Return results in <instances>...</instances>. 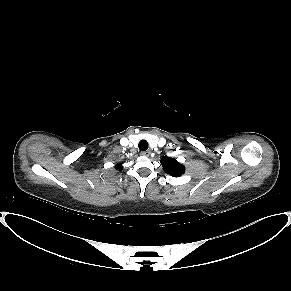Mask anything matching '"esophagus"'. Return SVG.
<instances>
[{
	"label": "esophagus",
	"mask_w": 291,
	"mask_h": 291,
	"mask_svg": "<svg viewBox=\"0 0 291 291\" xmlns=\"http://www.w3.org/2000/svg\"><path fill=\"white\" fill-rule=\"evenodd\" d=\"M143 156H149L151 154V152L149 150L143 151L141 153Z\"/></svg>",
	"instance_id": "1"
}]
</instances>
